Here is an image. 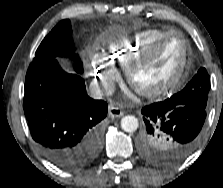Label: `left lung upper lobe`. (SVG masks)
Segmentation results:
<instances>
[{
	"label": "left lung upper lobe",
	"instance_id": "left-lung-upper-lobe-1",
	"mask_svg": "<svg viewBox=\"0 0 223 188\" xmlns=\"http://www.w3.org/2000/svg\"><path fill=\"white\" fill-rule=\"evenodd\" d=\"M210 90V78L205 68H200L185 88L166 99L165 102L178 106H195L206 109ZM140 154L152 164L165 166L173 164L172 149L174 144L160 131L140 134Z\"/></svg>",
	"mask_w": 223,
	"mask_h": 188
}]
</instances>
